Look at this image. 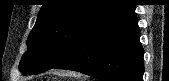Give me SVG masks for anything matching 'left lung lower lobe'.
Returning a JSON list of instances; mask_svg holds the SVG:
<instances>
[{"instance_id":"1","label":"left lung lower lobe","mask_w":169,"mask_h":81,"mask_svg":"<svg viewBox=\"0 0 169 81\" xmlns=\"http://www.w3.org/2000/svg\"><path fill=\"white\" fill-rule=\"evenodd\" d=\"M132 0H116L79 35L69 54L53 68L73 70L101 81H142L143 48Z\"/></svg>"}]
</instances>
